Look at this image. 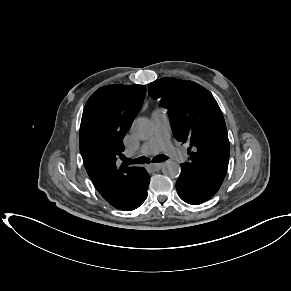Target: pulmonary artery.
Instances as JSON below:
<instances>
[{
  "instance_id": "1",
  "label": "pulmonary artery",
  "mask_w": 291,
  "mask_h": 291,
  "mask_svg": "<svg viewBox=\"0 0 291 291\" xmlns=\"http://www.w3.org/2000/svg\"><path fill=\"white\" fill-rule=\"evenodd\" d=\"M154 125L153 133L141 146L139 153L142 155H151L159 151H164L170 158L176 162H182L186 159L185 153L173 146L170 140V122L165 110H155L152 113Z\"/></svg>"
}]
</instances>
